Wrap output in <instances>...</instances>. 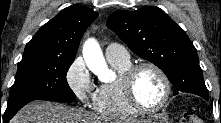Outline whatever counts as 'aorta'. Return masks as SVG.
I'll return each instance as SVG.
<instances>
[{
  "label": "aorta",
  "instance_id": "762f6f07",
  "mask_svg": "<svg viewBox=\"0 0 221 123\" xmlns=\"http://www.w3.org/2000/svg\"><path fill=\"white\" fill-rule=\"evenodd\" d=\"M83 57L87 67L98 75L99 78H103L107 74L108 67L105 58L95 39L90 38L85 42L83 46Z\"/></svg>",
  "mask_w": 221,
  "mask_h": 123
}]
</instances>
